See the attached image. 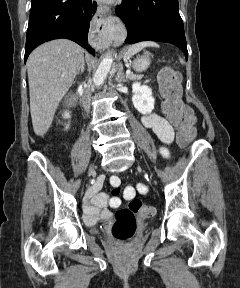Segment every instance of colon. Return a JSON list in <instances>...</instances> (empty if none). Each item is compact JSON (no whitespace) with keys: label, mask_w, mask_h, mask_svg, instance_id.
<instances>
[{"label":"colon","mask_w":240,"mask_h":288,"mask_svg":"<svg viewBox=\"0 0 240 288\" xmlns=\"http://www.w3.org/2000/svg\"><path fill=\"white\" fill-rule=\"evenodd\" d=\"M159 87L163 112L179 130V140L188 143L194 136V118L191 109L181 101L180 75L172 68H163L159 73ZM154 213L153 207L143 204L139 199L129 198L128 207L116 213L112 235L120 241L131 239L136 232V216L147 218Z\"/></svg>","instance_id":"5ec220e1"}]
</instances>
